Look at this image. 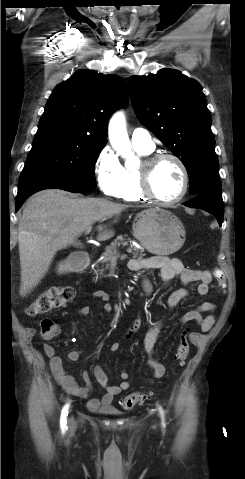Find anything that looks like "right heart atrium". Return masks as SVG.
<instances>
[{"label":"right heart atrium","mask_w":245,"mask_h":479,"mask_svg":"<svg viewBox=\"0 0 245 479\" xmlns=\"http://www.w3.org/2000/svg\"><path fill=\"white\" fill-rule=\"evenodd\" d=\"M123 170L114 152L106 148L99 155L95 174L101 192L108 197H117L123 183Z\"/></svg>","instance_id":"obj_1"}]
</instances>
